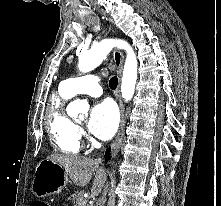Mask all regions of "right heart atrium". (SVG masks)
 Masks as SVG:
<instances>
[{"label": "right heart atrium", "mask_w": 221, "mask_h": 206, "mask_svg": "<svg viewBox=\"0 0 221 206\" xmlns=\"http://www.w3.org/2000/svg\"><path fill=\"white\" fill-rule=\"evenodd\" d=\"M80 135H82L83 137H86V135L83 131H80Z\"/></svg>", "instance_id": "obj_1"}]
</instances>
